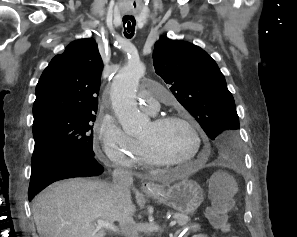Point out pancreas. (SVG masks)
I'll use <instances>...</instances> for the list:
<instances>
[{"mask_svg":"<svg viewBox=\"0 0 297 237\" xmlns=\"http://www.w3.org/2000/svg\"><path fill=\"white\" fill-rule=\"evenodd\" d=\"M172 217L177 221L179 226H184L190 221L188 215L182 213H173Z\"/></svg>","mask_w":297,"mask_h":237,"instance_id":"1","label":"pancreas"}]
</instances>
